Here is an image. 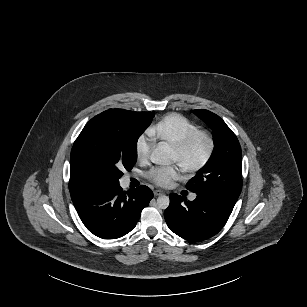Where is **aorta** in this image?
I'll return each mask as SVG.
<instances>
[{
    "mask_svg": "<svg viewBox=\"0 0 307 307\" xmlns=\"http://www.w3.org/2000/svg\"><path fill=\"white\" fill-rule=\"evenodd\" d=\"M174 150L166 142H161L153 150L151 154V162L158 165H169L172 163V155ZM170 199L166 195H161L157 198V206L160 209L168 208Z\"/></svg>",
    "mask_w": 307,
    "mask_h": 307,
    "instance_id": "aorta-1",
    "label": "aorta"
}]
</instances>
